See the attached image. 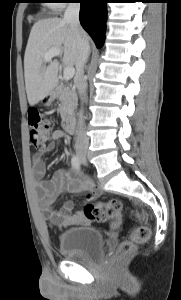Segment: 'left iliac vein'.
I'll return each instance as SVG.
<instances>
[{
  "instance_id": "1",
  "label": "left iliac vein",
  "mask_w": 181,
  "mask_h": 300,
  "mask_svg": "<svg viewBox=\"0 0 181 300\" xmlns=\"http://www.w3.org/2000/svg\"><path fill=\"white\" fill-rule=\"evenodd\" d=\"M82 164H84V165H85V164H86V161H85V160H82Z\"/></svg>"
}]
</instances>
